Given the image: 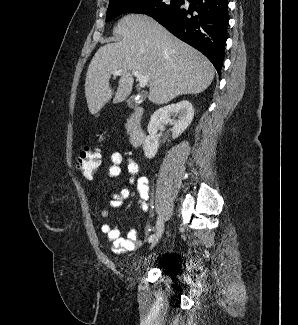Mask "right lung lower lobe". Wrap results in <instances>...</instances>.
<instances>
[{"label":"right lung lower lobe","instance_id":"obj_1","mask_svg":"<svg viewBox=\"0 0 298 325\" xmlns=\"http://www.w3.org/2000/svg\"><path fill=\"white\" fill-rule=\"evenodd\" d=\"M153 18L182 41L202 52L220 74L227 40L228 0H188Z\"/></svg>","mask_w":298,"mask_h":325}]
</instances>
